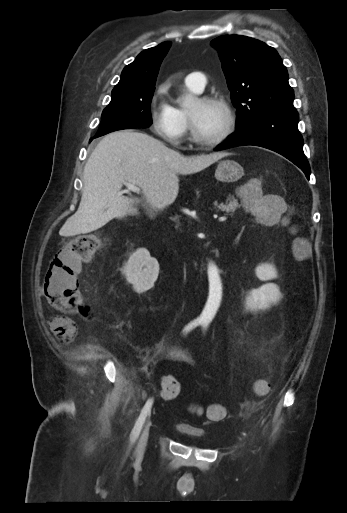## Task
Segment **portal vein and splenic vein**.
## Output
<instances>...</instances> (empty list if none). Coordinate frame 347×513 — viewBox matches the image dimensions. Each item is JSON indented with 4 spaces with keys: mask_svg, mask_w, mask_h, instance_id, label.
I'll list each match as a JSON object with an SVG mask.
<instances>
[{
    "mask_svg": "<svg viewBox=\"0 0 347 513\" xmlns=\"http://www.w3.org/2000/svg\"><path fill=\"white\" fill-rule=\"evenodd\" d=\"M126 187H127V190H131V191H134V192H139L140 191V188L135 186L134 184H131V183H125ZM227 220V217L225 216H222L219 218V221L220 222H224Z\"/></svg>",
    "mask_w": 347,
    "mask_h": 513,
    "instance_id": "obj_1",
    "label": "portal vein and splenic vein"
}]
</instances>
